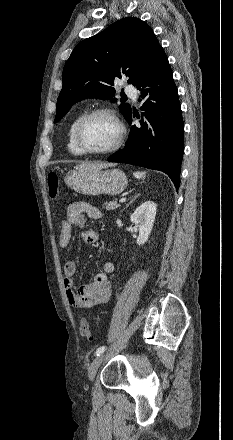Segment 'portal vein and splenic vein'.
Wrapping results in <instances>:
<instances>
[{
  "label": "portal vein and splenic vein",
  "mask_w": 233,
  "mask_h": 440,
  "mask_svg": "<svg viewBox=\"0 0 233 440\" xmlns=\"http://www.w3.org/2000/svg\"><path fill=\"white\" fill-rule=\"evenodd\" d=\"M125 201H126V198H122V199L120 200L121 203H123V202H125Z\"/></svg>",
  "instance_id": "1"
}]
</instances>
